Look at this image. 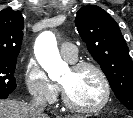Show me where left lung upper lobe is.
I'll list each match as a JSON object with an SVG mask.
<instances>
[{"mask_svg":"<svg viewBox=\"0 0 133 118\" xmlns=\"http://www.w3.org/2000/svg\"><path fill=\"white\" fill-rule=\"evenodd\" d=\"M75 25L116 97L133 110V62L115 20L102 8L88 5L78 10Z\"/></svg>","mask_w":133,"mask_h":118,"instance_id":"5c2ea615","label":"left lung upper lobe"}]
</instances>
